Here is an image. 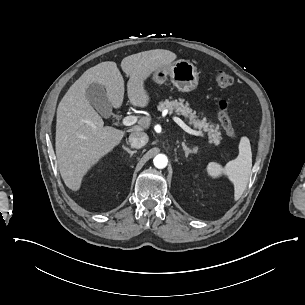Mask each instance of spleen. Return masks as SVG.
<instances>
[{
	"instance_id": "spleen-1",
	"label": "spleen",
	"mask_w": 305,
	"mask_h": 305,
	"mask_svg": "<svg viewBox=\"0 0 305 305\" xmlns=\"http://www.w3.org/2000/svg\"><path fill=\"white\" fill-rule=\"evenodd\" d=\"M252 168V152L250 141L247 137H241L239 143V155L236 159L229 161L225 167L219 163L210 162L206 171L212 178L227 175L234 184V198L238 200L245 191Z\"/></svg>"
}]
</instances>
